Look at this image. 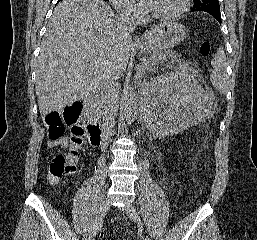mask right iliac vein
<instances>
[{
  "mask_svg": "<svg viewBox=\"0 0 257 240\" xmlns=\"http://www.w3.org/2000/svg\"><path fill=\"white\" fill-rule=\"evenodd\" d=\"M108 210H109V202L107 200H103L99 205V208L96 212V215L93 221L91 222L86 232L84 233L83 240H91L94 237L100 223L102 222Z\"/></svg>",
  "mask_w": 257,
  "mask_h": 240,
  "instance_id": "63e3f726",
  "label": "right iliac vein"
}]
</instances>
